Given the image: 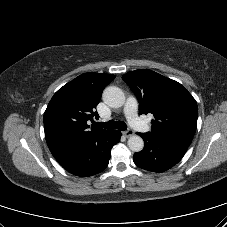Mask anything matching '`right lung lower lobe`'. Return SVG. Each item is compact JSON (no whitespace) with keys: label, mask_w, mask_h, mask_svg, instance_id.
<instances>
[{"label":"right lung lower lobe","mask_w":227,"mask_h":227,"mask_svg":"<svg viewBox=\"0 0 227 227\" xmlns=\"http://www.w3.org/2000/svg\"><path fill=\"white\" fill-rule=\"evenodd\" d=\"M121 132L108 130L87 141L71 144L52 151L59 164L79 177L102 172L108 165L112 147L120 141Z\"/></svg>","instance_id":"obj_1"}]
</instances>
